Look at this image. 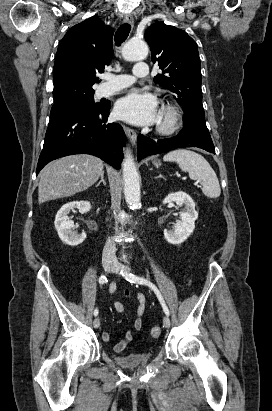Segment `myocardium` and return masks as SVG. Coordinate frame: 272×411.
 I'll return each instance as SVG.
<instances>
[{
	"label": "myocardium",
	"mask_w": 272,
	"mask_h": 411,
	"mask_svg": "<svg viewBox=\"0 0 272 411\" xmlns=\"http://www.w3.org/2000/svg\"><path fill=\"white\" fill-rule=\"evenodd\" d=\"M181 123V112L176 107L168 105L161 111L157 131L162 135H171L179 129Z\"/></svg>",
	"instance_id": "f54148a6"
}]
</instances>
